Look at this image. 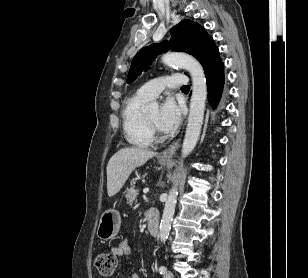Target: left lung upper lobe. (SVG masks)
<instances>
[{
    "label": "left lung upper lobe",
    "mask_w": 308,
    "mask_h": 278,
    "mask_svg": "<svg viewBox=\"0 0 308 278\" xmlns=\"http://www.w3.org/2000/svg\"><path fill=\"white\" fill-rule=\"evenodd\" d=\"M170 41L141 49L133 58L127 83L133 82L153 61V56L169 49L193 55L202 64L205 73L218 66L222 60L212 37L199 24L183 20L171 29Z\"/></svg>",
    "instance_id": "left-lung-upper-lobe-1"
}]
</instances>
